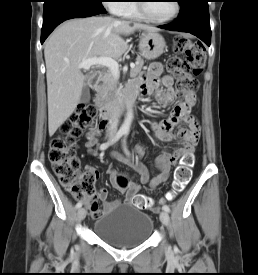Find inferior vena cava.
<instances>
[{
	"label": "inferior vena cava",
	"mask_w": 258,
	"mask_h": 275,
	"mask_svg": "<svg viewBox=\"0 0 258 275\" xmlns=\"http://www.w3.org/2000/svg\"><path fill=\"white\" fill-rule=\"evenodd\" d=\"M119 117H120V111H119V108L116 107L114 109V112L110 115V119H109V128H108L109 136H114L116 134Z\"/></svg>",
	"instance_id": "inferior-vena-cava-1"
}]
</instances>
